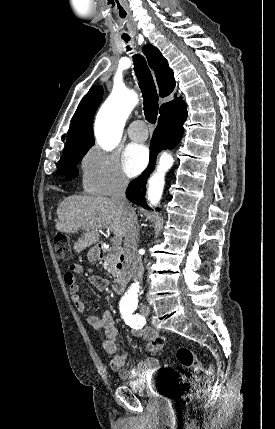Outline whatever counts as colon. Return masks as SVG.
I'll list each match as a JSON object with an SVG mask.
<instances>
[{"instance_id": "colon-1", "label": "colon", "mask_w": 275, "mask_h": 429, "mask_svg": "<svg viewBox=\"0 0 275 429\" xmlns=\"http://www.w3.org/2000/svg\"><path fill=\"white\" fill-rule=\"evenodd\" d=\"M54 249L56 255L64 260L71 256V247L68 238L57 233L54 237ZM164 345V338L154 343V350H160ZM177 359L182 367L193 372L192 376L184 377L181 380L179 387L183 391L180 402L185 405L199 401L208 392L213 381V370L210 367H205L197 356L187 347H179L176 353ZM204 374V380L198 376Z\"/></svg>"}]
</instances>
